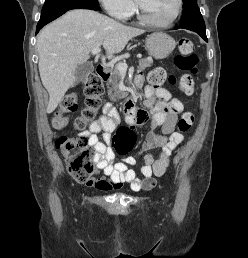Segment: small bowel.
Masks as SVG:
<instances>
[{
    "instance_id": "c3829d8e",
    "label": "small bowel",
    "mask_w": 248,
    "mask_h": 258,
    "mask_svg": "<svg viewBox=\"0 0 248 258\" xmlns=\"http://www.w3.org/2000/svg\"><path fill=\"white\" fill-rule=\"evenodd\" d=\"M137 86H142L143 78L137 75ZM145 106L149 111L134 108L130 116L126 117L127 127L134 132V128L150 122L153 131L147 140L142 144L139 154L152 148H159L157 156L147 153L144 156V164L141 166V173L144 179L137 177L136 172L129 168L136 163L135 156H127L122 161H114V153L109 146L111 134L119 123V115L110 102L103 106V113L96 120L92 121L88 130L82 132V136L89 139L94 147V163L96 168L102 171L104 178L88 180L87 184L99 190L110 191L128 184L132 191L154 190L157 180L152 176H162L170 161L173 151L183 142L184 136L178 130V115L183 112L182 102L172 97L171 93L161 87L147 85L144 87ZM160 131L156 132L155 129ZM103 132V141H100L97 134Z\"/></svg>"
}]
</instances>
